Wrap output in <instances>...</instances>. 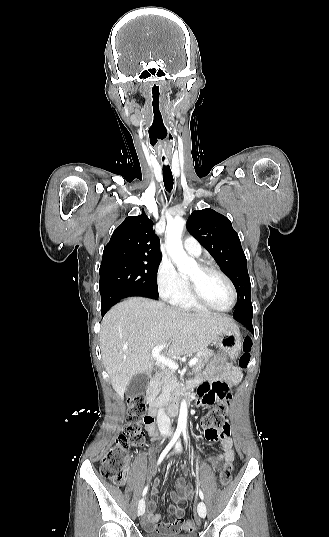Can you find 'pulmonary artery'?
<instances>
[{
	"label": "pulmonary artery",
	"mask_w": 329,
	"mask_h": 537,
	"mask_svg": "<svg viewBox=\"0 0 329 537\" xmlns=\"http://www.w3.org/2000/svg\"><path fill=\"white\" fill-rule=\"evenodd\" d=\"M183 247L188 253L194 256H199L201 254V245L193 237H187L183 242Z\"/></svg>",
	"instance_id": "pulmonary-artery-1"
}]
</instances>
